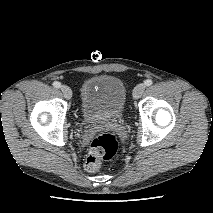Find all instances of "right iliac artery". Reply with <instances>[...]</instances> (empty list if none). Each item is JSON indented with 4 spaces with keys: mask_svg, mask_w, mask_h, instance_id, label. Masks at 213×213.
<instances>
[{
    "mask_svg": "<svg viewBox=\"0 0 213 213\" xmlns=\"http://www.w3.org/2000/svg\"><path fill=\"white\" fill-rule=\"evenodd\" d=\"M53 86H54L55 88H60V87H61V83L55 81V82H53Z\"/></svg>",
    "mask_w": 213,
    "mask_h": 213,
    "instance_id": "right-iliac-artery-1",
    "label": "right iliac artery"
}]
</instances>
